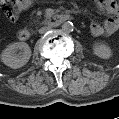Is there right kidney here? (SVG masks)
Masks as SVG:
<instances>
[{"mask_svg": "<svg viewBox=\"0 0 119 119\" xmlns=\"http://www.w3.org/2000/svg\"><path fill=\"white\" fill-rule=\"evenodd\" d=\"M16 49L20 51L15 53ZM31 57V50L27 43L15 42L8 45L1 54L2 62L10 68L17 69L24 66Z\"/></svg>", "mask_w": 119, "mask_h": 119, "instance_id": "right-kidney-1", "label": "right kidney"}]
</instances>
